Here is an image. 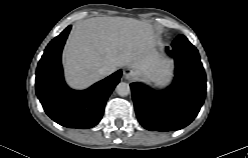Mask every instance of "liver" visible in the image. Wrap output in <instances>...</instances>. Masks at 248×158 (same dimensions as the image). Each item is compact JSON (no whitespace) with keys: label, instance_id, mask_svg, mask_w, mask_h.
<instances>
[{"label":"liver","instance_id":"6515ba94","mask_svg":"<svg viewBox=\"0 0 248 158\" xmlns=\"http://www.w3.org/2000/svg\"><path fill=\"white\" fill-rule=\"evenodd\" d=\"M65 75L75 88H85L102 76L99 69L109 66L111 73L130 67L152 81L164 79L170 64L156 50L152 25L127 17H95L75 24L63 51Z\"/></svg>","mask_w":248,"mask_h":158}]
</instances>
